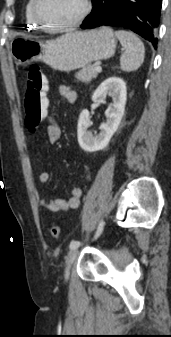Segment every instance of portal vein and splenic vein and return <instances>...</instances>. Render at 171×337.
<instances>
[{
  "label": "portal vein and splenic vein",
  "mask_w": 171,
  "mask_h": 337,
  "mask_svg": "<svg viewBox=\"0 0 171 337\" xmlns=\"http://www.w3.org/2000/svg\"><path fill=\"white\" fill-rule=\"evenodd\" d=\"M94 70H95L96 72H98V73H101L102 68H101L100 66H96V67L94 68Z\"/></svg>",
  "instance_id": "portal-vein-and-splenic-vein-1"
}]
</instances>
